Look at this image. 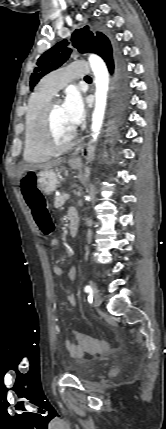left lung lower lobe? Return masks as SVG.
I'll use <instances>...</instances> for the list:
<instances>
[{"label":"left lung lower lobe","instance_id":"left-lung-lower-lobe-1","mask_svg":"<svg viewBox=\"0 0 166 429\" xmlns=\"http://www.w3.org/2000/svg\"><path fill=\"white\" fill-rule=\"evenodd\" d=\"M96 54L104 59L110 73L115 72L117 78V101L116 110L119 116L122 117V113L126 108L127 92H128V79L124 61L121 53L118 50L113 51L111 44L102 46H96Z\"/></svg>","mask_w":166,"mask_h":429}]
</instances>
